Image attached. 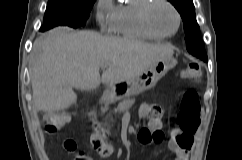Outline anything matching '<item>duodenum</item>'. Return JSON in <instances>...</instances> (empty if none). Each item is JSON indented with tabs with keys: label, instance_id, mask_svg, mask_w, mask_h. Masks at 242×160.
<instances>
[{
	"label": "duodenum",
	"instance_id": "410a0bca",
	"mask_svg": "<svg viewBox=\"0 0 242 160\" xmlns=\"http://www.w3.org/2000/svg\"><path fill=\"white\" fill-rule=\"evenodd\" d=\"M115 96V91L112 88H108L106 89L103 94L101 95L98 103L107 100L111 97ZM89 117L90 120L92 122V127H93V131H94V136L96 137H100L103 138L104 136H106L107 131L106 129L102 126V124L100 123L98 116H97V112L96 109H92L89 113Z\"/></svg>",
	"mask_w": 242,
	"mask_h": 160
}]
</instances>
